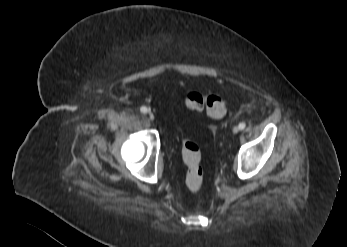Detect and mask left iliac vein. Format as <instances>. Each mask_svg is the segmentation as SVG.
<instances>
[{"label": "left iliac vein", "mask_w": 347, "mask_h": 247, "mask_svg": "<svg viewBox=\"0 0 347 247\" xmlns=\"http://www.w3.org/2000/svg\"><path fill=\"white\" fill-rule=\"evenodd\" d=\"M239 130H240V128H239L238 126H235V127L233 128V133H234V134H237V133L239 132Z\"/></svg>", "instance_id": "left-iliac-vein-1"}]
</instances>
